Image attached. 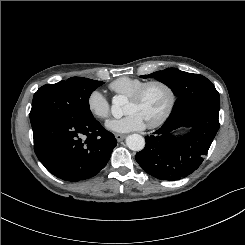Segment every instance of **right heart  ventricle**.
<instances>
[{"mask_svg":"<svg viewBox=\"0 0 245 245\" xmlns=\"http://www.w3.org/2000/svg\"><path fill=\"white\" fill-rule=\"evenodd\" d=\"M145 82L146 81L139 78L123 76L111 82L109 88L117 95L129 97Z\"/></svg>","mask_w":245,"mask_h":245,"instance_id":"right-heart-ventricle-1","label":"right heart ventricle"}]
</instances>
